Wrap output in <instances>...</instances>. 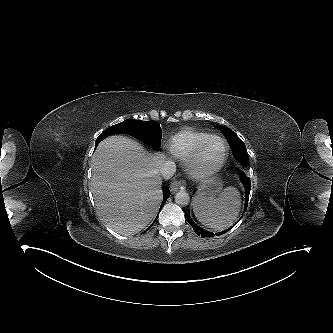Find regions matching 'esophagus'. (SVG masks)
Segmentation results:
<instances>
[{
	"label": "esophagus",
	"mask_w": 333,
	"mask_h": 333,
	"mask_svg": "<svg viewBox=\"0 0 333 333\" xmlns=\"http://www.w3.org/2000/svg\"><path fill=\"white\" fill-rule=\"evenodd\" d=\"M186 187V181L185 180H180V181H174L170 185V189L172 192H176L179 189L184 190Z\"/></svg>",
	"instance_id": "esophagus-1"
}]
</instances>
